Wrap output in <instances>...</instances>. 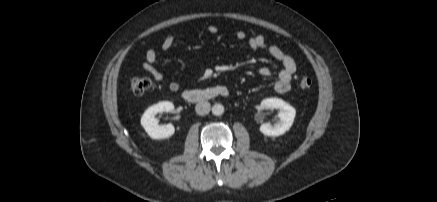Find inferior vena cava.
I'll use <instances>...</instances> for the list:
<instances>
[{
	"label": "inferior vena cava",
	"instance_id": "1",
	"mask_svg": "<svg viewBox=\"0 0 437 202\" xmlns=\"http://www.w3.org/2000/svg\"><path fill=\"white\" fill-rule=\"evenodd\" d=\"M211 105L208 101H200L195 106V111L198 115H206L210 112Z\"/></svg>",
	"mask_w": 437,
	"mask_h": 202
}]
</instances>
